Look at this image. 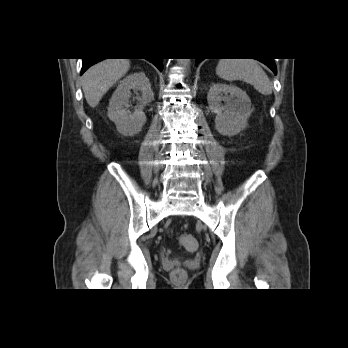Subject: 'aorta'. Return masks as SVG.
Returning <instances> with one entry per match:
<instances>
[{"label":"aorta","mask_w":348,"mask_h":348,"mask_svg":"<svg viewBox=\"0 0 348 348\" xmlns=\"http://www.w3.org/2000/svg\"><path fill=\"white\" fill-rule=\"evenodd\" d=\"M179 64L184 68H189L190 59H178Z\"/></svg>","instance_id":"aorta-1"}]
</instances>
